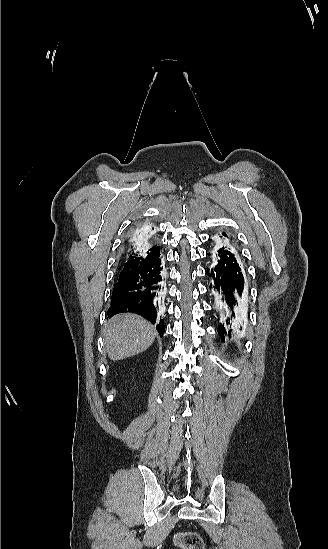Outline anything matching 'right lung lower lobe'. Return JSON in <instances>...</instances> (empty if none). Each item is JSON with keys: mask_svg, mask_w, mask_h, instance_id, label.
Here are the masks:
<instances>
[{"mask_svg": "<svg viewBox=\"0 0 328 549\" xmlns=\"http://www.w3.org/2000/svg\"><path fill=\"white\" fill-rule=\"evenodd\" d=\"M128 242L129 237L124 242V248ZM163 274V262L159 253L129 275L120 277L112 292L108 316L124 312L139 314L152 324H156V329L162 337L165 332L164 320L160 316Z\"/></svg>", "mask_w": 328, "mask_h": 549, "instance_id": "obj_1", "label": "right lung lower lobe"}]
</instances>
